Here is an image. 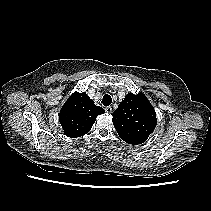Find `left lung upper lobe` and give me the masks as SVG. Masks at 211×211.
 Returning a JSON list of instances; mask_svg holds the SVG:
<instances>
[{"mask_svg": "<svg viewBox=\"0 0 211 211\" xmlns=\"http://www.w3.org/2000/svg\"><path fill=\"white\" fill-rule=\"evenodd\" d=\"M114 127L125 142L144 143L156 127V112L142 93H129L112 114Z\"/></svg>", "mask_w": 211, "mask_h": 211, "instance_id": "left-lung-upper-lobe-1", "label": "left lung upper lobe"}]
</instances>
